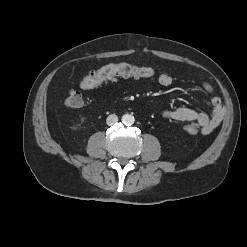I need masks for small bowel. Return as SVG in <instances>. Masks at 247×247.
<instances>
[{
    "label": "small bowel",
    "instance_id": "obj_1",
    "mask_svg": "<svg viewBox=\"0 0 247 247\" xmlns=\"http://www.w3.org/2000/svg\"><path fill=\"white\" fill-rule=\"evenodd\" d=\"M158 81L163 86H171L173 84L172 77L164 72L158 77ZM202 89L207 92H212V86L204 82L202 83ZM212 105V114L197 111L188 107H177L174 109L164 110L162 112L163 117L170 118L182 122H196L201 128V132L204 135L212 133L221 123L225 115V107L219 97L214 96L210 100Z\"/></svg>",
    "mask_w": 247,
    "mask_h": 247
}]
</instances>
